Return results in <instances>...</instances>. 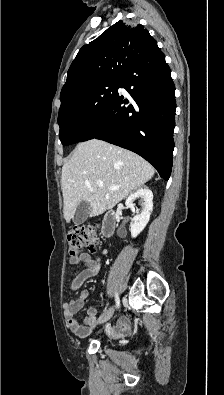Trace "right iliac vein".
<instances>
[{
  "label": "right iliac vein",
  "mask_w": 224,
  "mask_h": 395,
  "mask_svg": "<svg viewBox=\"0 0 224 395\" xmlns=\"http://www.w3.org/2000/svg\"><path fill=\"white\" fill-rule=\"evenodd\" d=\"M112 314H113L112 311L103 314L102 316L99 317V319L97 320V323L103 324V323L107 322L112 317Z\"/></svg>",
  "instance_id": "1"
}]
</instances>
